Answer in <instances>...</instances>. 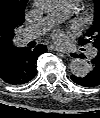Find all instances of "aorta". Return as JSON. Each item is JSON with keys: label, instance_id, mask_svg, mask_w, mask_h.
<instances>
[{"label": "aorta", "instance_id": "1", "mask_svg": "<svg viewBox=\"0 0 100 118\" xmlns=\"http://www.w3.org/2000/svg\"><path fill=\"white\" fill-rule=\"evenodd\" d=\"M35 2L38 9L45 13L54 12L59 7V0H35ZM70 70L77 77H85L90 73L91 67L86 60L76 58L70 63Z\"/></svg>", "mask_w": 100, "mask_h": 118}]
</instances>
